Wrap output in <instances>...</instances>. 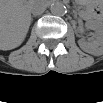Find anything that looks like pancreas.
I'll use <instances>...</instances> for the list:
<instances>
[{"mask_svg":"<svg viewBox=\"0 0 103 103\" xmlns=\"http://www.w3.org/2000/svg\"><path fill=\"white\" fill-rule=\"evenodd\" d=\"M77 10H78L79 16L82 17L84 20L90 19L89 15L84 10H82L80 7H78Z\"/></svg>","mask_w":103,"mask_h":103,"instance_id":"1","label":"pancreas"}]
</instances>
